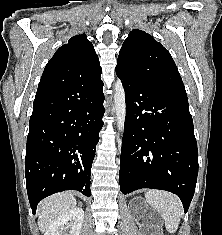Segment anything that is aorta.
Wrapping results in <instances>:
<instances>
[{
  "instance_id": "obj_1",
  "label": "aorta",
  "mask_w": 222,
  "mask_h": 235,
  "mask_svg": "<svg viewBox=\"0 0 222 235\" xmlns=\"http://www.w3.org/2000/svg\"><path fill=\"white\" fill-rule=\"evenodd\" d=\"M114 107L119 132L124 131L126 117L125 90L121 81L114 84Z\"/></svg>"
}]
</instances>
